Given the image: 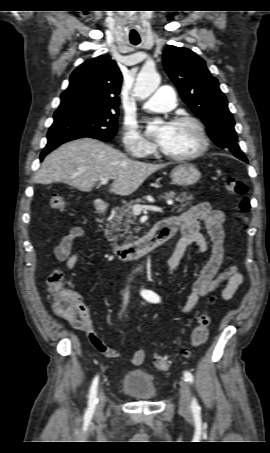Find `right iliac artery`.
<instances>
[{
  "mask_svg": "<svg viewBox=\"0 0 270 453\" xmlns=\"http://www.w3.org/2000/svg\"><path fill=\"white\" fill-rule=\"evenodd\" d=\"M127 298V296H125ZM97 386H98V377H95L93 380L91 389H90V394H89V403H88V409L86 412V416H91L94 412L95 405L98 402L97 399Z\"/></svg>",
  "mask_w": 270,
  "mask_h": 453,
  "instance_id": "82829eb1",
  "label": "right iliac artery"
}]
</instances>
